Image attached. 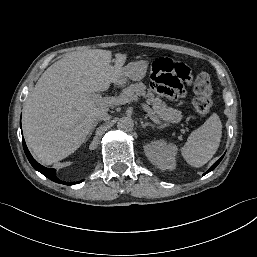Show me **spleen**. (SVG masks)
Returning a JSON list of instances; mask_svg holds the SVG:
<instances>
[{
    "instance_id": "1",
    "label": "spleen",
    "mask_w": 257,
    "mask_h": 257,
    "mask_svg": "<svg viewBox=\"0 0 257 257\" xmlns=\"http://www.w3.org/2000/svg\"><path fill=\"white\" fill-rule=\"evenodd\" d=\"M222 123L219 116L212 114L203 125L191 132L181 148L184 159L193 167L205 165L219 148Z\"/></svg>"
}]
</instances>
